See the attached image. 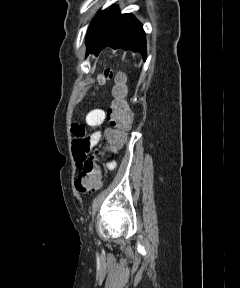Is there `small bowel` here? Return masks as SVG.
I'll return each mask as SVG.
<instances>
[{"mask_svg":"<svg viewBox=\"0 0 240 288\" xmlns=\"http://www.w3.org/2000/svg\"><path fill=\"white\" fill-rule=\"evenodd\" d=\"M106 113L103 109L95 108L90 110L85 117V125L91 128L100 127L105 121ZM86 126L74 123L71 127L73 135L72 152L78 168L81 170L82 164L87 159L89 151L96 146L101 139V131L88 134ZM108 169H113L115 163L108 164Z\"/></svg>","mask_w":240,"mask_h":288,"instance_id":"c3829d8e","label":"small bowel"}]
</instances>
